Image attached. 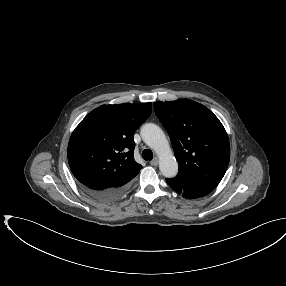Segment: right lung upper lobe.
I'll return each instance as SVG.
<instances>
[{
	"instance_id": "1",
	"label": "right lung upper lobe",
	"mask_w": 286,
	"mask_h": 286,
	"mask_svg": "<svg viewBox=\"0 0 286 286\" xmlns=\"http://www.w3.org/2000/svg\"><path fill=\"white\" fill-rule=\"evenodd\" d=\"M151 103L102 105L76 127L68 144L70 169L80 184L124 187L142 166L134 160L133 136L150 116Z\"/></svg>"
}]
</instances>
